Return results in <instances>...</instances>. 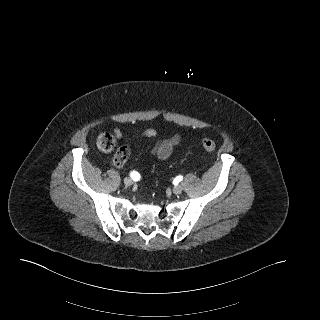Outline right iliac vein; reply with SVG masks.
I'll use <instances>...</instances> for the list:
<instances>
[{
    "instance_id": "63e3f726",
    "label": "right iliac vein",
    "mask_w": 320,
    "mask_h": 320,
    "mask_svg": "<svg viewBox=\"0 0 320 320\" xmlns=\"http://www.w3.org/2000/svg\"><path fill=\"white\" fill-rule=\"evenodd\" d=\"M124 183L126 186H130L133 184V180L130 177L124 178Z\"/></svg>"
}]
</instances>
